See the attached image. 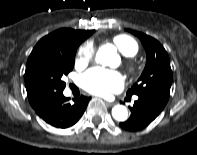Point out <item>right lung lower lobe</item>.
Wrapping results in <instances>:
<instances>
[{
	"label": "right lung lower lobe",
	"instance_id": "right-lung-lower-lobe-1",
	"mask_svg": "<svg viewBox=\"0 0 197 155\" xmlns=\"http://www.w3.org/2000/svg\"><path fill=\"white\" fill-rule=\"evenodd\" d=\"M63 93L50 100L37 114L48 124L56 128H68L82 116L89 97L81 96L69 101Z\"/></svg>",
	"mask_w": 197,
	"mask_h": 155
}]
</instances>
